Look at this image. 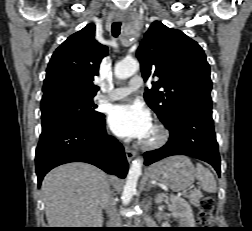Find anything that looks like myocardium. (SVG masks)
<instances>
[{"instance_id": "obj_1", "label": "myocardium", "mask_w": 252, "mask_h": 231, "mask_svg": "<svg viewBox=\"0 0 252 231\" xmlns=\"http://www.w3.org/2000/svg\"><path fill=\"white\" fill-rule=\"evenodd\" d=\"M153 129L156 133V136L152 140H143L142 141V147L144 149H158L165 145L169 139V131L167 128L160 124V123H155L153 125Z\"/></svg>"}]
</instances>
